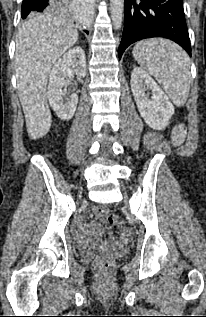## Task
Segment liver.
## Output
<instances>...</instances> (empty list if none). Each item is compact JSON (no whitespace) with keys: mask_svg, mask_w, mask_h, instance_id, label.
<instances>
[{"mask_svg":"<svg viewBox=\"0 0 206 317\" xmlns=\"http://www.w3.org/2000/svg\"><path fill=\"white\" fill-rule=\"evenodd\" d=\"M76 27L67 17L38 14L19 27L16 37L17 91L30 139H39L51 127L46 86L56 60L78 40Z\"/></svg>","mask_w":206,"mask_h":317,"instance_id":"1","label":"liver"}]
</instances>
